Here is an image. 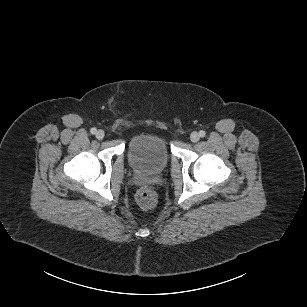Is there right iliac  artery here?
I'll use <instances>...</instances> for the list:
<instances>
[{"label": "right iliac artery", "mask_w": 307, "mask_h": 307, "mask_svg": "<svg viewBox=\"0 0 307 307\" xmlns=\"http://www.w3.org/2000/svg\"><path fill=\"white\" fill-rule=\"evenodd\" d=\"M90 132H91V134H96L97 130H96V128H92V129L90 130Z\"/></svg>", "instance_id": "82829eb1"}]
</instances>
